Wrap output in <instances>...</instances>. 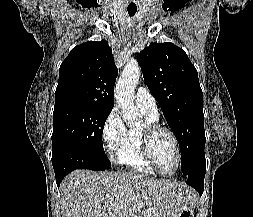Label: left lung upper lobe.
Returning a JSON list of instances; mask_svg holds the SVG:
<instances>
[{
	"label": "left lung upper lobe",
	"mask_w": 253,
	"mask_h": 217,
	"mask_svg": "<svg viewBox=\"0 0 253 217\" xmlns=\"http://www.w3.org/2000/svg\"><path fill=\"white\" fill-rule=\"evenodd\" d=\"M143 78L176 136L184 176L205 164L202 90L197 70L185 51L166 43H151L138 53Z\"/></svg>",
	"instance_id": "obj_1"
}]
</instances>
